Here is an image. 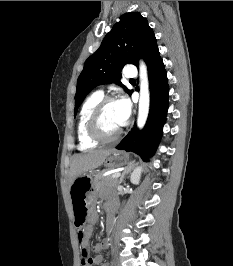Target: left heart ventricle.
<instances>
[{"label":"left heart ventricle","instance_id":"b2bd125f","mask_svg":"<svg viewBox=\"0 0 233 266\" xmlns=\"http://www.w3.org/2000/svg\"><path fill=\"white\" fill-rule=\"evenodd\" d=\"M100 125L102 132L106 135H111L121 128L116 102L108 103L105 106Z\"/></svg>","mask_w":233,"mask_h":266}]
</instances>
